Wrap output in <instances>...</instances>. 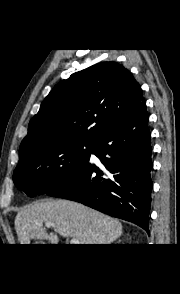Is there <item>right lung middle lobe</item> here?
Returning <instances> with one entry per match:
<instances>
[{"label": "right lung middle lobe", "mask_w": 180, "mask_h": 294, "mask_svg": "<svg viewBox=\"0 0 180 294\" xmlns=\"http://www.w3.org/2000/svg\"><path fill=\"white\" fill-rule=\"evenodd\" d=\"M92 146L93 142H70L40 149L18 163L13 181L30 197L47 194L89 160Z\"/></svg>", "instance_id": "dd1d6c3e"}]
</instances>
